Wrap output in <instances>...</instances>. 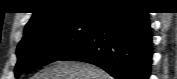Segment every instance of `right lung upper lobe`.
<instances>
[{"label":"right lung upper lobe","mask_w":177,"mask_h":79,"mask_svg":"<svg viewBox=\"0 0 177 79\" xmlns=\"http://www.w3.org/2000/svg\"><path fill=\"white\" fill-rule=\"evenodd\" d=\"M130 3L133 2L128 0H41L38 1L36 10L25 27L24 34L51 24L100 16L107 8Z\"/></svg>","instance_id":"cb5924a9"}]
</instances>
